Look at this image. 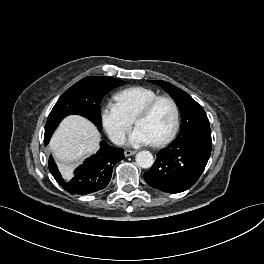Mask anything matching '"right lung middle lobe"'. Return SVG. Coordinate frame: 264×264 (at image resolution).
I'll list each match as a JSON object with an SVG mask.
<instances>
[{
  "label": "right lung middle lobe",
  "mask_w": 264,
  "mask_h": 264,
  "mask_svg": "<svg viewBox=\"0 0 264 264\" xmlns=\"http://www.w3.org/2000/svg\"><path fill=\"white\" fill-rule=\"evenodd\" d=\"M122 80L104 76L86 77L70 87L51 110L46 125L44 144L59 125L70 114H78L91 120L101 130L100 103L110 90L124 84Z\"/></svg>",
  "instance_id": "1"
}]
</instances>
